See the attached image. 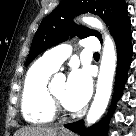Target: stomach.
<instances>
[{"mask_svg":"<svg viewBox=\"0 0 136 136\" xmlns=\"http://www.w3.org/2000/svg\"><path fill=\"white\" fill-rule=\"evenodd\" d=\"M56 136H71V135H69V134H67V133H63V132H60L58 135H56Z\"/></svg>","mask_w":136,"mask_h":136,"instance_id":"0dacf381","label":"stomach"}]
</instances>
